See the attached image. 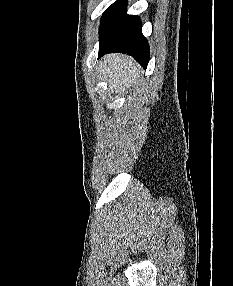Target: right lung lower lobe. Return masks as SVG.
<instances>
[{
	"instance_id": "98d812e1",
	"label": "right lung lower lobe",
	"mask_w": 233,
	"mask_h": 286,
	"mask_svg": "<svg viewBox=\"0 0 233 286\" xmlns=\"http://www.w3.org/2000/svg\"><path fill=\"white\" fill-rule=\"evenodd\" d=\"M126 0H117L103 14L99 37V58L121 52L133 56L144 68L149 61V45L137 16L126 14Z\"/></svg>"
}]
</instances>
